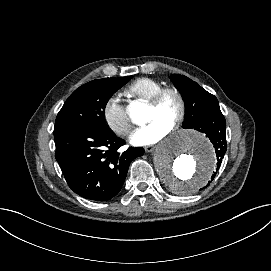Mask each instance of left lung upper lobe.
<instances>
[{
	"label": "left lung upper lobe",
	"instance_id": "obj_1",
	"mask_svg": "<svg viewBox=\"0 0 271 271\" xmlns=\"http://www.w3.org/2000/svg\"><path fill=\"white\" fill-rule=\"evenodd\" d=\"M170 79L180 91L185 102V120L183 128H194L205 117L220 109L217 98L208 93L196 82L180 74H172Z\"/></svg>",
	"mask_w": 271,
	"mask_h": 271
}]
</instances>
